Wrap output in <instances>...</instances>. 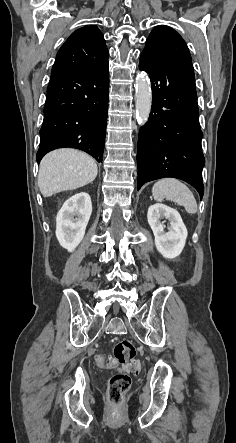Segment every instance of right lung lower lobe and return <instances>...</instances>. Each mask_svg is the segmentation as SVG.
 Masks as SVG:
<instances>
[{"label":"right lung lower lobe","mask_w":236,"mask_h":443,"mask_svg":"<svg viewBox=\"0 0 236 443\" xmlns=\"http://www.w3.org/2000/svg\"><path fill=\"white\" fill-rule=\"evenodd\" d=\"M108 92V66L91 72H52L40 129L38 163L49 151L63 147L80 149L102 162Z\"/></svg>","instance_id":"obj_1"}]
</instances>
